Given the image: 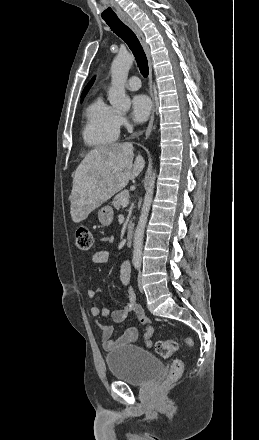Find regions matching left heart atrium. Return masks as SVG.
I'll list each match as a JSON object with an SVG mask.
<instances>
[{"mask_svg":"<svg viewBox=\"0 0 259 440\" xmlns=\"http://www.w3.org/2000/svg\"><path fill=\"white\" fill-rule=\"evenodd\" d=\"M152 109V102L145 94H137L132 97L131 110L132 117L137 122H144Z\"/></svg>","mask_w":259,"mask_h":440,"instance_id":"obj_1","label":"left heart atrium"}]
</instances>
